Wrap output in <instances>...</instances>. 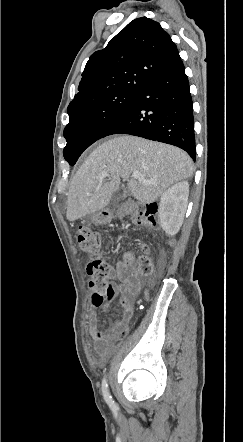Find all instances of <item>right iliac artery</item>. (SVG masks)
<instances>
[{
	"label": "right iliac artery",
	"instance_id": "1",
	"mask_svg": "<svg viewBox=\"0 0 243 442\" xmlns=\"http://www.w3.org/2000/svg\"><path fill=\"white\" fill-rule=\"evenodd\" d=\"M102 393H103V397L106 401V403L109 405V407L112 410H116L117 409V405L115 404L114 400L112 399L110 393H109V389H108V383H107V378L104 377L102 380Z\"/></svg>",
	"mask_w": 243,
	"mask_h": 442
}]
</instances>
